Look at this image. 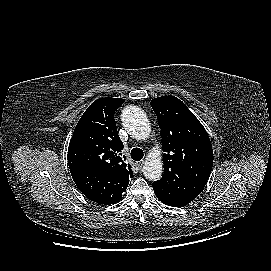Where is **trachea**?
I'll list each match as a JSON object with an SVG mask.
<instances>
[{"label":"trachea","instance_id":"trachea-1","mask_svg":"<svg viewBox=\"0 0 271 271\" xmlns=\"http://www.w3.org/2000/svg\"><path fill=\"white\" fill-rule=\"evenodd\" d=\"M130 155L134 161H140L143 158L144 153L140 148H133Z\"/></svg>","mask_w":271,"mask_h":271}]
</instances>
